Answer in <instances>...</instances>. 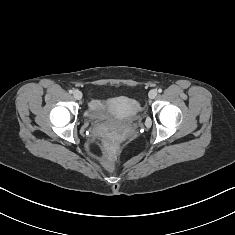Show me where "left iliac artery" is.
<instances>
[{"label":"left iliac artery","instance_id":"1","mask_svg":"<svg viewBox=\"0 0 235 235\" xmlns=\"http://www.w3.org/2000/svg\"><path fill=\"white\" fill-rule=\"evenodd\" d=\"M158 92H159V93H161V92H162V89H161V88H159V89H158Z\"/></svg>","mask_w":235,"mask_h":235}]
</instances>
